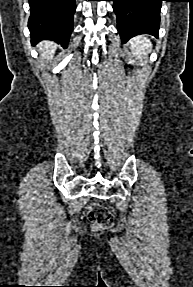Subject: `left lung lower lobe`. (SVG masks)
Here are the masks:
<instances>
[{
    "label": "left lung lower lobe",
    "instance_id": "0a47b994",
    "mask_svg": "<svg viewBox=\"0 0 193 287\" xmlns=\"http://www.w3.org/2000/svg\"><path fill=\"white\" fill-rule=\"evenodd\" d=\"M117 16L122 42L139 34L158 35L161 3L165 0H109Z\"/></svg>",
    "mask_w": 193,
    "mask_h": 287
}]
</instances>
